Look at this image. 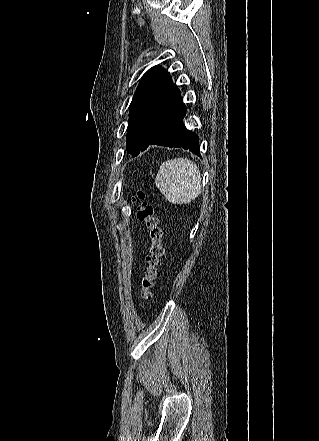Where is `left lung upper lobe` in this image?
<instances>
[{"label": "left lung upper lobe", "instance_id": "obj_1", "mask_svg": "<svg viewBox=\"0 0 319 441\" xmlns=\"http://www.w3.org/2000/svg\"><path fill=\"white\" fill-rule=\"evenodd\" d=\"M183 99L168 71L150 68L141 78L129 106L126 150L137 156L146 150L160 126L182 105Z\"/></svg>", "mask_w": 319, "mask_h": 441}]
</instances>
